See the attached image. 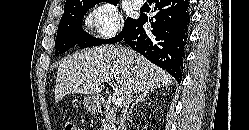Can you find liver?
I'll list each match as a JSON object with an SVG mask.
<instances>
[{"label":"liver","instance_id":"1","mask_svg":"<svg viewBox=\"0 0 249 130\" xmlns=\"http://www.w3.org/2000/svg\"><path fill=\"white\" fill-rule=\"evenodd\" d=\"M112 79L118 83L123 103L134 93L173 82L169 74L129 48L99 46L63 59L57 71L55 101L71 93L98 94Z\"/></svg>","mask_w":249,"mask_h":130}]
</instances>
